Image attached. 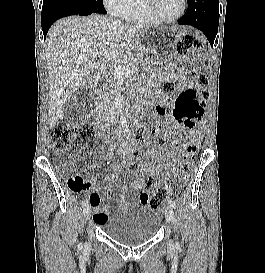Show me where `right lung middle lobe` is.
<instances>
[{"label": "right lung middle lobe", "instance_id": "dd1d6c3e", "mask_svg": "<svg viewBox=\"0 0 265 273\" xmlns=\"http://www.w3.org/2000/svg\"><path fill=\"white\" fill-rule=\"evenodd\" d=\"M54 8H68L79 12L106 14L102 0H43L42 12Z\"/></svg>", "mask_w": 265, "mask_h": 273}]
</instances>
